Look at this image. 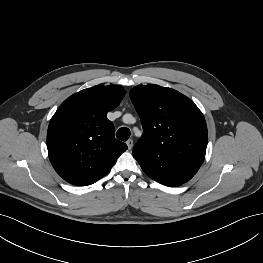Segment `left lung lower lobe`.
Returning a JSON list of instances; mask_svg holds the SVG:
<instances>
[{
  "label": "left lung lower lobe",
  "mask_w": 263,
  "mask_h": 263,
  "mask_svg": "<svg viewBox=\"0 0 263 263\" xmlns=\"http://www.w3.org/2000/svg\"><path fill=\"white\" fill-rule=\"evenodd\" d=\"M194 175V173L182 168L173 165H165L158 169L155 174H150L148 176L163 185L178 186L190 180Z\"/></svg>",
  "instance_id": "0a47b994"
}]
</instances>
